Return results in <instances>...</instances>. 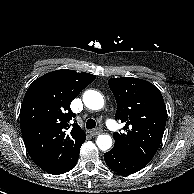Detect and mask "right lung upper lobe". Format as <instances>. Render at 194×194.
<instances>
[{"label":"right lung upper lobe","mask_w":194,"mask_h":194,"mask_svg":"<svg viewBox=\"0 0 194 194\" xmlns=\"http://www.w3.org/2000/svg\"><path fill=\"white\" fill-rule=\"evenodd\" d=\"M96 76L61 69L36 79L28 88L20 109V127L31 159L44 171L54 174L79 153L86 139L70 102Z\"/></svg>","instance_id":"cb5924a9"}]
</instances>
